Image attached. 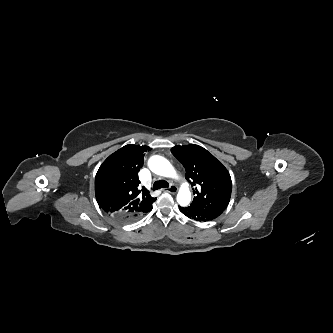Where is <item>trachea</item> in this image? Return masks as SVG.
Wrapping results in <instances>:
<instances>
[{
    "instance_id": "trachea-1",
    "label": "trachea",
    "mask_w": 333,
    "mask_h": 333,
    "mask_svg": "<svg viewBox=\"0 0 333 333\" xmlns=\"http://www.w3.org/2000/svg\"><path fill=\"white\" fill-rule=\"evenodd\" d=\"M167 187H169V183L165 180L155 181L153 184V190H158V189L167 188Z\"/></svg>"
}]
</instances>
